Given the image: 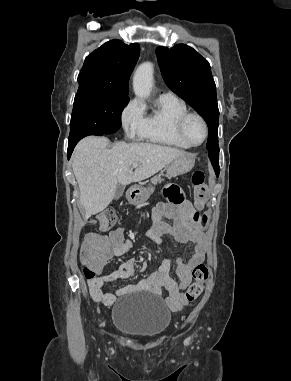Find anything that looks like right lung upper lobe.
Here are the masks:
<instances>
[{"label":"right lung upper lobe","instance_id":"obj_1","mask_svg":"<svg viewBox=\"0 0 291 381\" xmlns=\"http://www.w3.org/2000/svg\"><path fill=\"white\" fill-rule=\"evenodd\" d=\"M139 52L137 43L106 42L86 57L78 76V90H102L127 96L128 80Z\"/></svg>","mask_w":291,"mask_h":381}]
</instances>
